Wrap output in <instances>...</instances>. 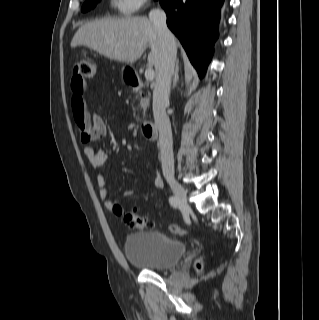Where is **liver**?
Returning a JSON list of instances; mask_svg holds the SVG:
<instances>
[{
	"instance_id": "liver-1",
	"label": "liver",
	"mask_w": 319,
	"mask_h": 320,
	"mask_svg": "<svg viewBox=\"0 0 319 320\" xmlns=\"http://www.w3.org/2000/svg\"><path fill=\"white\" fill-rule=\"evenodd\" d=\"M77 46L88 47L109 59L130 64L150 47L148 63L154 65L156 73L162 57L157 31L146 17L87 22L78 29L71 41L72 48Z\"/></svg>"
}]
</instances>
